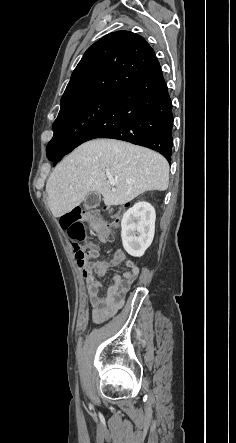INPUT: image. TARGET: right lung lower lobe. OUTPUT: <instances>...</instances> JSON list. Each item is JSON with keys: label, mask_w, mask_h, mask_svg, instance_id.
<instances>
[{"label": "right lung lower lobe", "mask_w": 236, "mask_h": 443, "mask_svg": "<svg viewBox=\"0 0 236 443\" xmlns=\"http://www.w3.org/2000/svg\"><path fill=\"white\" fill-rule=\"evenodd\" d=\"M172 103L158 61L127 89L116 94L85 122L67 148H47L57 164L66 154L94 138H114L172 155Z\"/></svg>", "instance_id": "1"}]
</instances>
